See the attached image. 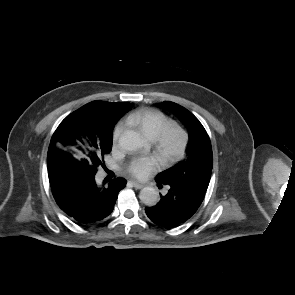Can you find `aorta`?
Returning a JSON list of instances; mask_svg holds the SVG:
<instances>
[{
	"label": "aorta",
	"instance_id": "1",
	"mask_svg": "<svg viewBox=\"0 0 295 295\" xmlns=\"http://www.w3.org/2000/svg\"><path fill=\"white\" fill-rule=\"evenodd\" d=\"M118 142L119 146L127 151H136L144 145L141 136L133 130L123 132ZM139 198L143 204L154 206L159 201V193L153 187H144L139 193Z\"/></svg>",
	"mask_w": 295,
	"mask_h": 295
}]
</instances>
